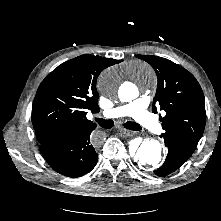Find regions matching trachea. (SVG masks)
Wrapping results in <instances>:
<instances>
[{"label": "trachea", "instance_id": "1", "mask_svg": "<svg viewBox=\"0 0 221 221\" xmlns=\"http://www.w3.org/2000/svg\"><path fill=\"white\" fill-rule=\"evenodd\" d=\"M95 120H96V122H98V124L102 128H105V129H110L114 125L113 120H105V119H102V118H96ZM123 125H124L125 128H127L129 130L138 131V130L142 129L141 126L138 123L131 122V121H128V122L124 123Z\"/></svg>", "mask_w": 221, "mask_h": 221}]
</instances>
